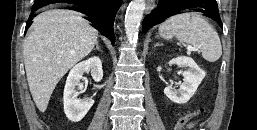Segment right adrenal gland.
Segmentation results:
<instances>
[{
    "label": "right adrenal gland",
    "mask_w": 257,
    "mask_h": 130,
    "mask_svg": "<svg viewBox=\"0 0 257 130\" xmlns=\"http://www.w3.org/2000/svg\"><path fill=\"white\" fill-rule=\"evenodd\" d=\"M94 50H98V51H101V49L99 48V45H98V43L96 44V48H94Z\"/></svg>",
    "instance_id": "obj_1"
}]
</instances>
